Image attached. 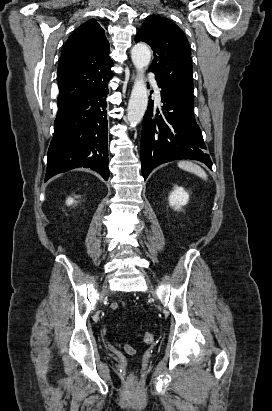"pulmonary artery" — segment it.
I'll use <instances>...</instances> for the list:
<instances>
[{
    "label": "pulmonary artery",
    "mask_w": 272,
    "mask_h": 411,
    "mask_svg": "<svg viewBox=\"0 0 272 411\" xmlns=\"http://www.w3.org/2000/svg\"><path fill=\"white\" fill-rule=\"evenodd\" d=\"M148 79H149V80H153V79H154L153 73L150 72V73L148 74ZM154 87H155V91H156L157 96H160V89H159L156 85H154Z\"/></svg>",
    "instance_id": "1"
}]
</instances>
